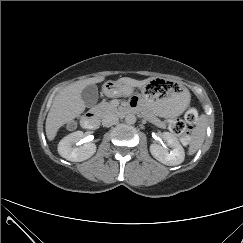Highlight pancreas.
<instances>
[{
    "label": "pancreas",
    "mask_w": 243,
    "mask_h": 243,
    "mask_svg": "<svg viewBox=\"0 0 243 243\" xmlns=\"http://www.w3.org/2000/svg\"><path fill=\"white\" fill-rule=\"evenodd\" d=\"M95 109L100 116H104L105 114H107L109 112L115 111L117 108H116V105L112 102H102L98 106H96ZM145 116H147L150 120H156L149 114H145ZM157 123L159 124L158 121H157Z\"/></svg>",
    "instance_id": "obj_1"
}]
</instances>
